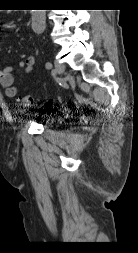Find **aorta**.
Masks as SVG:
<instances>
[{
	"instance_id": "762f6f07",
	"label": "aorta",
	"mask_w": 138,
	"mask_h": 253,
	"mask_svg": "<svg viewBox=\"0 0 138 253\" xmlns=\"http://www.w3.org/2000/svg\"><path fill=\"white\" fill-rule=\"evenodd\" d=\"M32 29L35 33L41 34L45 30L46 10H32Z\"/></svg>"
}]
</instances>
